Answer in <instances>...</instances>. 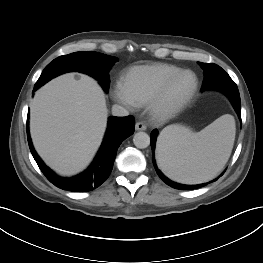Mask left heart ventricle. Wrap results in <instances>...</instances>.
Wrapping results in <instances>:
<instances>
[{
    "label": "left heart ventricle",
    "instance_id": "left-heart-ventricle-1",
    "mask_svg": "<svg viewBox=\"0 0 263 263\" xmlns=\"http://www.w3.org/2000/svg\"><path fill=\"white\" fill-rule=\"evenodd\" d=\"M194 84V77L192 74H185L180 77L171 87L167 101L169 103L175 102L185 97Z\"/></svg>",
    "mask_w": 263,
    "mask_h": 263
}]
</instances>
